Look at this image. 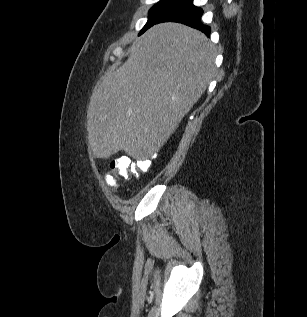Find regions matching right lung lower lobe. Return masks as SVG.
I'll return each mask as SVG.
<instances>
[{"mask_svg": "<svg viewBox=\"0 0 307 317\" xmlns=\"http://www.w3.org/2000/svg\"><path fill=\"white\" fill-rule=\"evenodd\" d=\"M202 14L203 10L200 7L194 6L193 0H175L173 4L168 9H166L152 24L147 26L144 31L154 24L172 21L198 29L209 36L211 28L201 22Z\"/></svg>", "mask_w": 307, "mask_h": 317, "instance_id": "1", "label": "right lung lower lobe"}]
</instances>
